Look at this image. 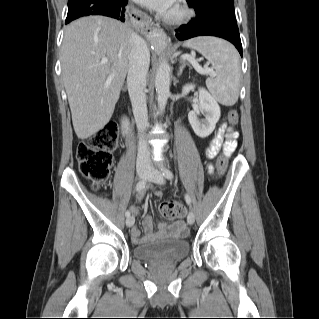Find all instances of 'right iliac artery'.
Instances as JSON below:
<instances>
[{
  "label": "right iliac artery",
  "mask_w": 319,
  "mask_h": 319,
  "mask_svg": "<svg viewBox=\"0 0 319 319\" xmlns=\"http://www.w3.org/2000/svg\"><path fill=\"white\" fill-rule=\"evenodd\" d=\"M147 182H148V179H144V180L139 181V182L137 183V185H136V191L140 192V191L144 190V188H145ZM125 215H126L127 217H129V216H130V212L127 210L126 213H125Z\"/></svg>",
  "instance_id": "obj_1"
}]
</instances>
